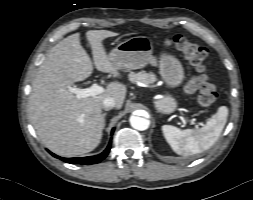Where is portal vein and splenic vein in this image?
<instances>
[{
	"instance_id": "18ae733b",
	"label": "portal vein and splenic vein",
	"mask_w": 253,
	"mask_h": 200,
	"mask_svg": "<svg viewBox=\"0 0 253 200\" xmlns=\"http://www.w3.org/2000/svg\"><path fill=\"white\" fill-rule=\"evenodd\" d=\"M71 93L76 94L79 98H85L90 96H96L104 92V88L99 86L98 84L94 83L89 88L81 89L77 87H70L68 89ZM190 122L196 126L195 120L192 119Z\"/></svg>"
}]
</instances>
